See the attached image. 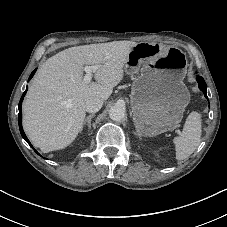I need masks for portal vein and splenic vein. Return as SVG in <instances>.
<instances>
[{
  "label": "portal vein and splenic vein",
  "mask_w": 227,
  "mask_h": 227,
  "mask_svg": "<svg viewBox=\"0 0 227 227\" xmlns=\"http://www.w3.org/2000/svg\"><path fill=\"white\" fill-rule=\"evenodd\" d=\"M97 69H98L97 65L84 67V71L86 72V74L83 78L84 83H90V81L92 80V72Z\"/></svg>",
  "instance_id": "obj_1"
}]
</instances>
